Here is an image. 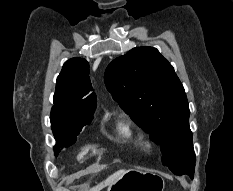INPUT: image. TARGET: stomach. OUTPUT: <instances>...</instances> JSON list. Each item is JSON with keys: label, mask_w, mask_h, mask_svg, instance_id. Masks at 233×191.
<instances>
[{"label": "stomach", "mask_w": 233, "mask_h": 191, "mask_svg": "<svg viewBox=\"0 0 233 191\" xmlns=\"http://www.w3.org/2000/svg\"><path fill=\"white\" fill-rule=\"evenodd\" d=\"M164 180L157 174L138 169L123 171L107 191H163Z\"/></svg>", "instance_id": "obj_1"}]
</instances>
